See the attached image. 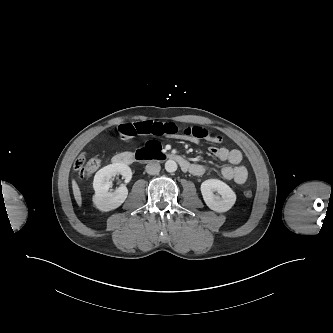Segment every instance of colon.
Here are the masks:
<instances>
[{
    "instance_id": "5ec220e1",
    "label": "colon",
    "mask_w": 333,
    "mask_h": 333,
    "mask_svg": "<svg viewBox=\"0 0 333 333\" xmlns=\"http://www.w3.org/2000/svg\"><path fill=\"white\" fill-rule=\"evenodd\" d=\"M74 167L80 178L87 179L99 169L100 161L97 158L87 159L86 155L83 154L78 157ZM244 195L247 198H251L252 192L250 190H246L244 191Z\"/></svg>"
}]
</instances>
